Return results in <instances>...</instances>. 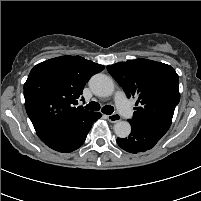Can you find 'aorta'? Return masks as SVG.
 I'll list each match as a JSON object with an SVG mask.
<instances>
[{"label": "aorta", "instance_id": "1", "mask_svg": "<svg viewBox=\"0 0 201 201\" xmlns=\"http://www.w3.org/2000/svg\"><path fill=\"white\" fill-rule=\"evenodd\" d=\"M89 86L92 92L99 97L111 96L114 92V82L112 78L105 74H96L90 81ZM114 132L119 138H126L131 133V125L127 121H118L114 125Z\"/></svg>", "mask_w": 201, "mask_h": 201}]
</instances>
